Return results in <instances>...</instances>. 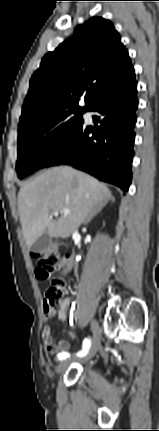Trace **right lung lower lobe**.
I'll use <instances>...</instances> for the list:
<instances>
[{"label":"right lung lower lobe","instance_id":"right-lung-lower-lobe-1","mask_svg":"<svg viewBox=\"0 0 159 431\" xmlns=\"http://www.w3.org/2000/svg\"><path fill=\"white\" fill-rule=\"evenodd\" d=\"M136 92L133 77L99 99L88 110L97 112L93 116L95 127L82 123L45 167L68 164L127 191L132 180Z\"/></svg>","mask_w":159,"mask_h":431}]
</instances>
